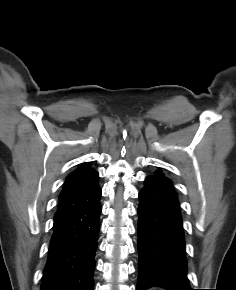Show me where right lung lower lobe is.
<instances>
[{"mask_svg":"<svg viewBox=\"0 0 236 290\" xmlns=\"http://www.w3.org/2000/svg\"><path fill=\"white\" fill-rule=\"evenodd\" d=\"M100 197L54 218L41 290H93Z\"/></svg>","mask_w":236,"mask_h":290,"instance_id":"98d812e1","label":"right lung lower lobe"}]
</instances>
